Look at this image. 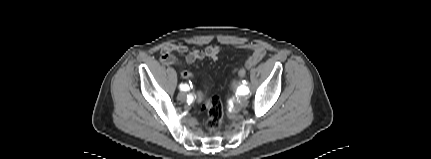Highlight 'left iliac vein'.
<instances>
[{"label": "left iliac vein", "mask_w": 431, "mask_h": 159, "mask_svg": "<svg viewBox=\"0 0 431 159\" xmlns=\"http://www.w3.org/2000/svg\"><path fill=\"white\" fill-rule=\"evenodd\" d=\"M241 103H242L243 105H246V104H247V98L243 96V97L241 98Z\"/></svg>", "instance_id": "obj_1"}]
</instances>
